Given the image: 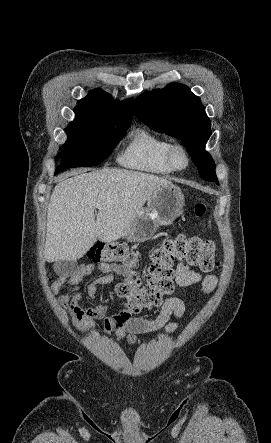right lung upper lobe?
Here are the masks:
<instances>
[{
    "label": "right lung upper lobe",
    "instance_id": "1",
    "mask_svg": "<svg viewBox=\"0 0 271 443\" xmlns=\"http://www.w3.org/2000/svg\"><path fill=\"white\" fill-rule=\"evenodd\" d=\"M75 120L87 118H130L133 114V100L122 102L113 98L102 89H95L77 102L74 108Z\"/></svg>",
    "mask_w": 271,
    "mask_h": 443
}]
</instances>
